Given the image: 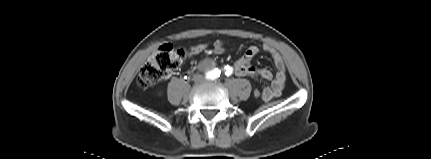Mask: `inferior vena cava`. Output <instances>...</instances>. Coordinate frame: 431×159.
Returning a JSON list of instances; mask_svg holds the SVG:
<instances>
[{
  "label": "inferior vena cava",
  "mask_w": 431,
  "mask_h": 159,
  "mask_svg": "<svg viewBox=\"0 0 431 159\" xmlns=\"http://www.w3.org/2000/svg\"><path fill=\"white\" fill-rule=\"evenodd\" d=\"M193 79L195 82H201L204 80V77L200 74H196Z\"/></svg>",
  "instance_id": "obj_1"
}]
</instances>
